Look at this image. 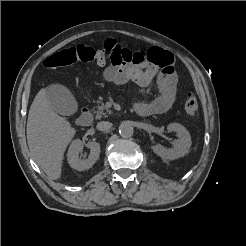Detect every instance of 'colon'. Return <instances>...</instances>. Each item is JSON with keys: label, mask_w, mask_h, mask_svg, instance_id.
I'll list each match as a JSON object with an SVG mask.
<instances>
[{"label": "colon", "mask_w": 246, "mask_h": 246, "mask_svg": "<svg viewBox=\"0 0 246 246\" xmlns=\"http://www.w3.org/2000/svg\"><path fill=\"white\" fill-rule=\"evenodd\" d=\"M107 53L104 50L78 45L49 56L44 65L47 68L71 66L78 62H94L98 65H104L108 60ZM184 111L188 117H193L198 111V101L192 92H188L186 95Z\"/></svg>", "instance_id": "5ec220e1"}]
</instances>
